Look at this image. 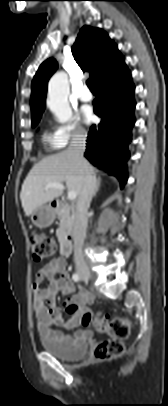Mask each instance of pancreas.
<instances>
[{"label":"pancreas","instance_id":"obj_1","mask_svg":"<svg viewBox=\"0 0 168 406\" xmlns=\"http://www.w3.org/2000/svg\"><path fill=\"white\" fill-rule=\"evenodd\" d=\"M73 207L64 205L57 211L58 218L60 220L59 228L56 231V235L59 239H62L72 228L73 221Z\"/></svg>","mask_w":168,"mask_h":406}]
</instances>
